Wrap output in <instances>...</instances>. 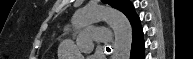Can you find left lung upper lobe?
I'll return each mask as SVG.
<instances>
[{"instance_id": "5c2ea615", "label": "left lung upper lobe", "mask_w": 193, "mask_h": 59, "mask_svg": "<svg viewBox=\"0 0 193 59\" xmlns=\"http://www.w3.org/2000/svg\"><path fill=\"white\" fill-rule=\"evenodd\" d=\"M102 2L122 11L127 18L134 13V7L129 0H102Z\"/></svg>"}]
</instances>
